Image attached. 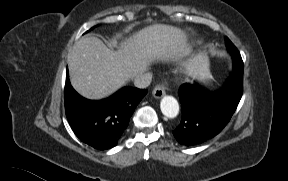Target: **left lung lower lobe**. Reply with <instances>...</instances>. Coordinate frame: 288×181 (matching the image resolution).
Returning <instances> with one entry per match:
<instances>
[{"instance_id":"0a47b994","label":"left lung lower lobe","mask_w":288,"mask_h":181,"mask_svg":"<svg viewBox=\"0 0 288 181\" xmlns=\"http://www.w3.org/2000/svg\"><path fill=\"white\" fill-rule=\"evenodd\" d=\"M234 52L240 56L235 47ZM242 91L243 80L231 78L217 92H208L197 84H183L178 92L182 119L173 131L176 140L181 145L193 146L216 136L230 121Z\"/></svg>"}]
</instances>
